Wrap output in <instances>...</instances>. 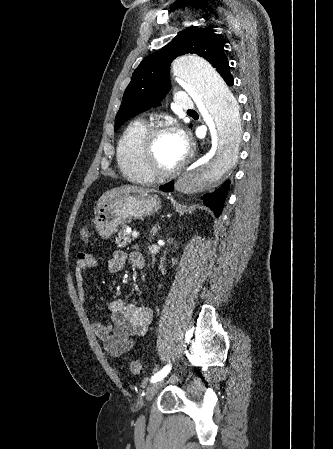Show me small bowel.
Here are the masks:
<instances>
[{"label": "small bowel", "instance_id": "obj_1", "mask_svg": "<svg viewBox=\"0 0 333 449\" xmlns=\"http://www.w3.org/2000/svg\"><path fill=\"white\" fill-rule=\"evenodd\" d=\"M128 255L124 251H115L108 262V270L118 273L125 267ZM133 262V253L129 255ZM96 265L93 255L80 251L75 265V283L77 294L81 302H85V271ZM111 322H95L93 330L103 342L104 348L114 357H119L131 350L136 340L145 335L151 319L152 311L124 300H114L109 304Z\"/></svg>", "mask_w": 333, "mask_h": 449}]
</instances>
